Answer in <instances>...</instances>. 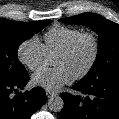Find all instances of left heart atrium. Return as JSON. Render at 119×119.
<instances>
[{
    "label": "left heart atrium",
    "instance_id": "1",
    "mask_svg": "<svg viewBox=\"0 0 119 119\" xmlns=\"http://www.w3.org/2000/svg\"><path fill=\"white\" fill-rule=\"evenodd\" d=\"M73 75L65 67L45 68L32 76L35 85L50 91H56L73 79Z\"/></svg>",
    "mask_w": 119,
    "mask_h": 119
}]
</instances>
